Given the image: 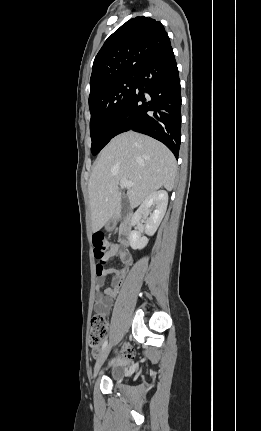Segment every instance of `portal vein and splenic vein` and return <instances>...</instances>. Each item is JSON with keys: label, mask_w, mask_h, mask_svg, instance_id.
<instances>
[{"label": "portal vein and splenic vein", "mask_w": 261, "mask_h": 431, "mask_svg": "<svg viewBox=\"0 0 261 431\" xmlns=\"http://www.w3.org/2000/svg\"><path fill=\"white\" fill-rule=\"evenodd\" d=\"M120 185H121L122 187H125V188H130V187L134 186V183H133V182L128 181L127 179H121V180H120Z\"/></svg>", "instance_id": "18ae733b"}]
</instances>
